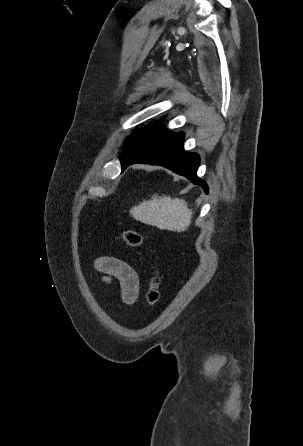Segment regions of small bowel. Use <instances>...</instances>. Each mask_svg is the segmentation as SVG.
Returning <instances> with one entry per match:
<instances>
[{"label": "small bowel", "mask_w": 303, "mask_h": 446, "mask_svg": "<svg viewBox=\"0 0 303 446\" xmlns=\"http://www.w3.org/2000/svg\"><path fill=\"white\" fill-rule=\"evenodd\" d=\"M96 269L103 274L105 281L116 279L121 288V296L125 303L132 304L139 292V278L136 271L126 262L111 256L99 257L95 262Z\"/></svg>", "instance_id": "small-bowel-1"}]
</instances>
